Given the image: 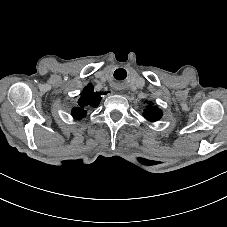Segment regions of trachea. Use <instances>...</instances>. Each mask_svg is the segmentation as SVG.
<instances>
[{
  "label": "trachea",
  "mask_w": 227,
  "mask_h": 227,
  "mask_svg": "<svg viewBox=\"0 0 227 227\" xmlns=\"http://www.w3.org/2000/svg\"><path fill=\"white\" fill-rule=\"evenodd\" d=\"M118 70H121V71L125 74V76H126L125 70H123V69H118ZM114 77H115L116 79H122V78H121V74H120L119 72H117L116 75L114 74Z\"/></svg>",
  "instance_id": "3493384b"
}]
</instances>
